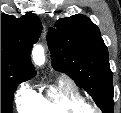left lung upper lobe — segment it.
Here are the masks:
<instances>
[{"mask_svg": "<svg viewBox=\"0 0 121 113\" xmlns=\"http://www.w3.org/2000/svg\"><path fill=\"white\" fill-rule=\"evenodd\" d=\"M55 27L47 35L53 68L71 76L104 113H112V72L99 28L84 15L61 18Z\"/></svg>", "mask_w": 121, "mask_h": 113, "instance_id": "5c2ea615", "label": "left lung upper lobe"}]
</instances>
